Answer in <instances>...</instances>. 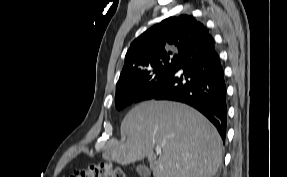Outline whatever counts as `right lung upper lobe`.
<instances>
[{
    "label": "right lung upper lobe",
    "instance_id": "1",
    "mask_svg": "<svg viewBox=\"0 0 287 177\" xmlns=\"http://www.w3.org/2000/svg\"><path fill=\"white\" fill-rule=\"evenodd\" d=\"M207 28L193 16L169 17L146 30L130 45L117 86L135 83L154 63L174 58Z\"/></svg>",
    "mask_w": 287,
    "mask_h": 177
}]
</instances>
